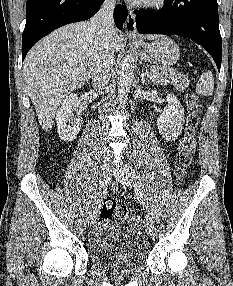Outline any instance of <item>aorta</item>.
Instances as JSON below:
<instances>
[{
  "label": "aorta",
  "mask_w": 233,
  "mask_h": 286,
  "mask_svg": "<svg viewBox=\"0 0 233 286\" xmlns=\"http://www.w3.org/2000/svg\"><path fill=\"white\" fill-rule=\"evenodd\" d=\"M133 75L134 57L132 54H127L122 59L118 77V101L120 106L125 105L127 102Z\"/></svg>",
  "instance_id": "762f6f07"
}]
</instances>
